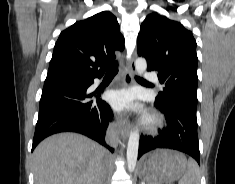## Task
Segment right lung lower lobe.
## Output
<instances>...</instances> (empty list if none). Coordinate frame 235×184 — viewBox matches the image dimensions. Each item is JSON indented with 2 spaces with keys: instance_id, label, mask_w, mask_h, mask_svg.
Instances as JSON below:
<instances>
[{
  "instance_id": "obj_1",
  "label": "right lung lower lobe",
  "mask_w": 235,
  "mask_h": 184,
  "mask_svg": "<svg viewBox=\"0 0 235 184\" xmlns=\"http://www.w3.org/2000/svg\"><path fill=\"white\" fill-rule=\"evenodd\" d=\"M93 79L55 75L46 78L32 151L39 142L52 134L77 132L92 138L113 152L105 143L106 129L113 118L112 110L100 99V93H86L87 88L93 84Z\"/></svg>"
}]
</instances>
